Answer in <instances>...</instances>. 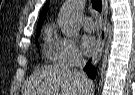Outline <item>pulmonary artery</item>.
Instances as JSON below:
<instances>
[{
    "instance_id": "1",
    "label": "pulmonary artery",
    "mask_w": 135,
    "mask_h": 95,
    "mask_svg": "<svg viewBox=\"0 0 135 95\" xmlns=\"http://www.w3.org/2000/svg\"><path fill=\"white\" fill-rule=\"evenodd\" d=\"M83 28L88 32L94 31L96 29L94 19L92 17H85L83 20Z\"/></svg>"
}]
</instances>
